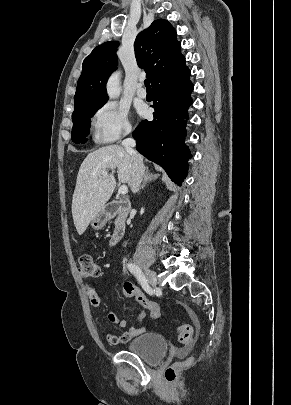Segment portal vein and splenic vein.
I'll return each mask as SVG.
<instances>
[{"mask_svg": "<svg viewBox=\"0 0 291 405\" xmlns=\"http://www.w3.org/2000/svg\"><path fill=\"white\" fill-rule=\"evenodd\" d=\"M107 175H108V172H107V171H104V172H102V174H101V176H107ZM118 193L121 194V195L127 194V193H128V188H127V186H126V185L120 186V188H119V190H118Z\"/></svg>", "mask_w": 291, "mask_h": 405, "instance_id": "18ae733b", "label": "portal vein and splenic vein"}]
</instances>
